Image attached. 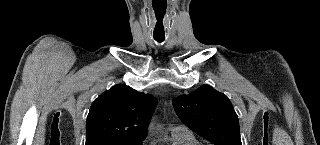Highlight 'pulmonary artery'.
Returning a JSON list of instances; mask_svg holds the SVG:
<instances>
[{
    "instance_id": "e3ab8cb5",
    "label": "pulmonary artery",
    "mask_w": 320,
    "mask_h": 145,
    "mask_svg": "<svg viewBox=\"0 0 320 145\" xmlns=\"http://www.w3.org/2000/svg\"><path fill=\"white\" fill-rule=\"evenodd\" d=\"M171 131H189L185 126H175L171 128Z\"/></svg>"
}]
</instances>
